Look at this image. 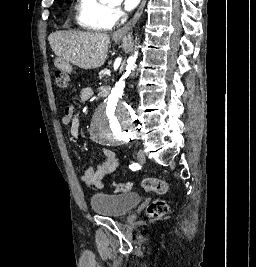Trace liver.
Wrapping results in <instances>:
<instances>
[{
    "label": "liver",
    "mask_w": 256,
    "mask_h": 267,
    "mask_svg": "<svg viewBox=\"0 0 256 267\" xmlns=\"http://www.w3.org/2000/svg\"><path fill=\"white\" fill-rule=\"evenodd\" d=\"M113 38L117 40V34ZM48 40L58 60L84 70L101 68L108 58L109 34L62 30L50 34Z\"/></svg>",
    "instance_id": "1"
}]
</instances>
